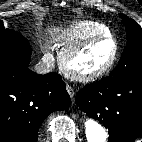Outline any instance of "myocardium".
<instances>
[{
  "label": "myocardium",
  "mask_w": 142,
  "mask_h": 142,
  "mask_svg": "<svg viewBox=\"0 0 142 142\" xmlns=\"http://www.w3.org/2000/svg\"><path fill=\"white\" fill-rule=\"evenodd\" d=\"M103 40L111 41L113 43L114 49L111 58L102 67L93 71L84 72L77 70L72 66V61L75 58H77L80 54H82L88 47H90L96 42ZM118 55H119V44L116 38L112 34L97 35L90 37L78 43L69 50L65 51L60 58V64L62 70L73 79L83 82H89L96 80L102 77L103 75H105L106 73H108L111 70V68L114 66L115 62L117 61Z\"/></svg>",
  "instance_id": "obj_1"
}]
</instances>
